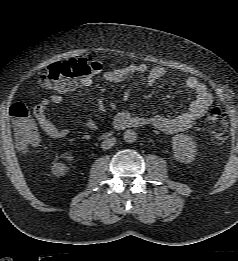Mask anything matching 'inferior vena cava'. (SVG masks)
Masks as SVG:
<instances>
[{"mask_svg":"<svg viewBox=\"0 0 238 261\" xmlns=\"http://www.w3.org/2000/svg\"><path fill=\"white\" fill-rule=\"evenodd\" d=\"M115 142H116V139H115V138H108V139H106V140H104V141L102 142L101 148H102L103 150H108V149H110L112 146H114Z\"/></svg>","mask_w":238,"mask_h":261,"instance_id":"602c4592","label":"inferior vena cava"}]
</instances>
